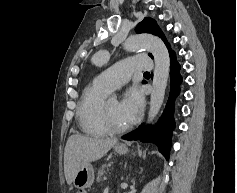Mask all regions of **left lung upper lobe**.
Listing matches in <instances>:
<instances>
[{"mask_svg":"<svg viewBox=\"0 0 237 193\" xmlns=\"http://www.w3.org/2000/svg\"><path fill=\"white\" fill-rule=\"evenodd\" d=\"M136 32L137 33H151L153 35H156V36L160 37L168 47L167 40H166L163 32L157 25L156 21L152 18H149V17L144 18V20L141 21L138 24V26L136 27ZM149 55L152 57L151 54H149Z\"/></svg>","mask_w":237,"mask_h":193,"instance_id":"left-lung-upper-lobe-1","label":"left lung upper lobe"}]
</instances>
